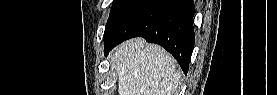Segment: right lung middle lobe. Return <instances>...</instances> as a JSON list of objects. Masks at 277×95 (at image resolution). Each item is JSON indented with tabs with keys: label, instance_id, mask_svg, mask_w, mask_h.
<instances>
[{
	"label": "right lung middle lobe",
	"instance_id": "right-lung-middle-lobe-1",
	"mask_svg": "<svg viewBox=\"0 0 277 95\" xmlns=\"http://www.w3.org/2000/svg\"><path fill=\"white\" fill-rule=\"evenodd\" d=\"M146 0H114L105 26L104 40Z\"/></svg>",
	"mask_w": 277,
	"mask_h": 95
}]
</instances>
